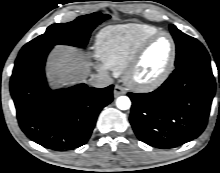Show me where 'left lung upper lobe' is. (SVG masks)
<instances>
[{"label":"left lung upper lobe","instance_id":"5c2ea615","mask_svg":"<svg viewBox=\"0 0 220 173\" xmlns=\"http://www.w3.org/2000/svg\"><path fill=\"white\" fill-rule=\"evenodd\" d=\"M170 31L176 43V68L201 61L210 62L206 49L197 39L184 34L174 25H170Z\"/></svg>","mask_w":220,"mask_h":173}]
</instances>
